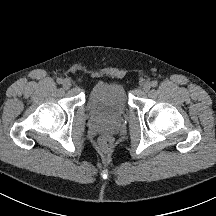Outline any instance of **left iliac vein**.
I'll return each mask as SVG.
<instances>
[{"mask_svg": "<svg viewBox=\"0 0 216 216\" xmlns=\"http://www.w3.org/2000/svg\"><path fill=\"white\" fill-rule=\"evenodd\" d=\"M150 88H151V83H149V82H146V83L143 85V90H144L145 92H148V91L150 90Z\"/></svg>", "mask_w": 216, "mask_h": 216, "instance_id": "1", "label": "left iliac vein"}]
</instances>
